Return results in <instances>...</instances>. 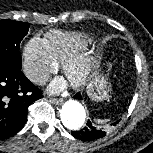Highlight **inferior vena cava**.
<instances>
[{"label": "inferior vena cava", "instance_id": "inferior-vena-cava-1", "mask_svg": "<svg viewBox=\"0 0 153 153\" xmlns=\"http://www.w3.org/2000/svg\"><path fill=\"white\" fill-rule=\"evenodd\" d=\"M27 76L36 84H45L49 80V76L45 73L29 72Z\"/></svg>", "mask_w": 153, "mask_h": 153}]
</instances>
